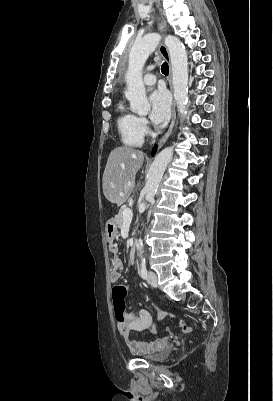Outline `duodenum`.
Here are the masks:
<instances>
[{
  "label": "duodenum",
  "instance_id": "410a0bca",
  "mask_svg": "<svg viewBox=\"0 0 273 401\" xmlns=\"http://www.w3.org/2000/svg\"><path fill=\"white\" fill-rule=\"evenodd\" d=\"M135 257H136V248H135V245H131L130 250H129L130 261H134Z\"/></svg>",
  "mask_w": 273,
  "mask_h": 401
}]
</instances>
